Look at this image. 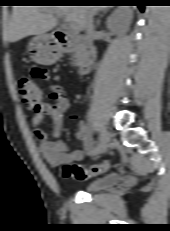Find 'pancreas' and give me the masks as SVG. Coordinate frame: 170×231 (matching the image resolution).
Listing matches in <instances>:
<instances>
[{
	"label": "pancreas",
	"instance_id": "pancreas-1",
	"mask_svg": "<svg viewBox=\"0 0 170 231\" xmlns=\"http://www.w3.org/2000/svg\"><path fill=\"white\" fill-rule=\"evenodd\" d=\"M72 61H73V65H77V63H78V60H77V58H78V53H74L73 55H72Z\"/></svg>",
	"mask_w": 170,
	"mask_h": 231
}]
</instances>
